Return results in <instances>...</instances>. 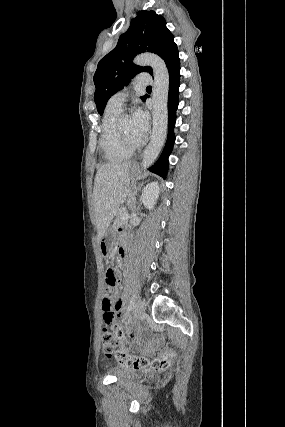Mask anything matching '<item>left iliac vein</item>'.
<instances>
[{
    "label": "left iliac vein",
    "mask_w": 285,
    "mask_h": 427,
    "mask_svg": "<svg viewBox=\"0 0 285 427\" xmlns=\"http://www.w3.org/2000/svg\"><path fill=\"white\" fill-rule=\"evenodd\" d=\"M145 313V304L142 300H138L134 309V320H139Z\"/></svg>",
    "instance_id": "obj_1"
}]
</instances>
